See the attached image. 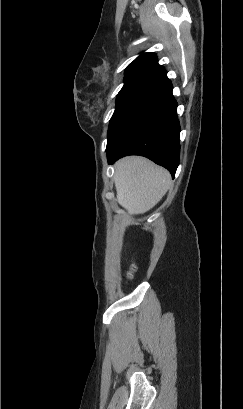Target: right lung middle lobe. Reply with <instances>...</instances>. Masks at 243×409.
<instances>
[{
	"label": "right lung middle lobe",
	"instance_id": "obj_1",
	"mask_svg": "<svg viewBox=\"0 0 243 409\" xmlns=\"http://www.w3.org/2000/svg\"><path fill=\"white\" fill-rule=\"evenodd\" d=\"M162 83L151 78L125 80L116 99V107L110 119L107 146L132 112Z\"/></svg>",
	"mask_w": 243,
	"mask_h": 409
}]
</instances>
